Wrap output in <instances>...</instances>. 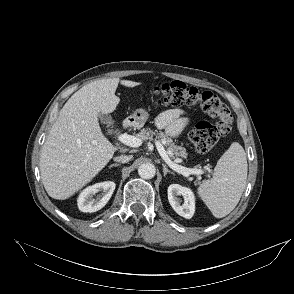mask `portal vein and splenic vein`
Wrapping results in <instances>:
<instances>
[{
    "label": "portal vein and splenic vein",
    "mask_w": 294,
    "mask_h": 294,
    "mask_svg": "<svg viewBox=\"0 0 294 294\" xmlns=\"http://www.w3.org/2000/svg\"><path fill=\"white\" fill-rule=\"evenodd\" d=\"M117 139L125 144L128 145L130 147H140L142 145V139L123 133V134H119L117 135ZM156 148L160 154V156L162 157V159L166 162V164L174 171H176L179 174H182L185 177H189L191 174H195V175H200L202 174V170L201 169H196V168H186L184 166H181L179 164H177L178 162H180V159H176L175 161H172L170 159V155L172 154L169 151H166L165 148L163 147V145L156 141L155 142Z\"/></svg>",
    "instance_id": "portal-vein-and-splenic-vein-1"
}]
</instances>
